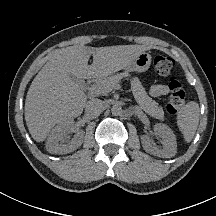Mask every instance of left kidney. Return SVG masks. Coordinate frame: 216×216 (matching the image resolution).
<instances>
[{
	"instance_id": "obj_1",
	"label": "left kidney",
	"mask_w": 216,
	"mask_h": 216,
	"mask_svg": "<svg viewBox=\"0 0 216 216\" xmlns=\"http://www.w3.org/2000/svg\"><path fill=\"white\" fill-rule=\"evenodd\" d=\"M155 135L161 137L164 141V148L162 150L153 146L152 140L147 135L141 136V142L144 150L152 155L161 158H171L176 154L177 142L173 131L165 124L154 125Z\"/></svg>"
}]
</instances>
